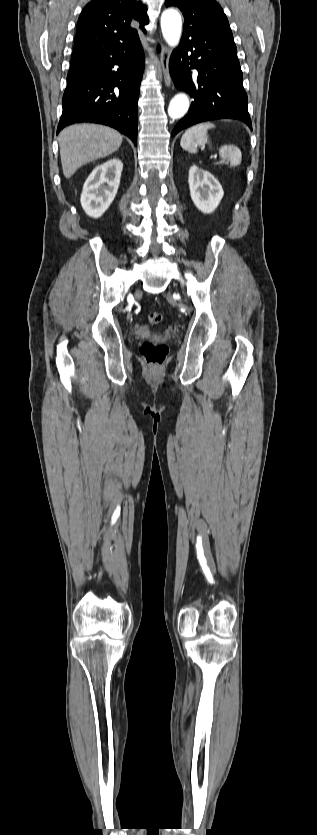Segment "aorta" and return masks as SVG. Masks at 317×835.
I'll use <instances>...</instances> for the list:
<instances>
[{
  "mask_svg": "<svg viewBox=\"0 0 317 835\" xmlns=\"http://www.w3.org/2000/svg\"><path fill=\"white\" fill-rule=\"evenodd\" d=\"M161 30L168 45L175 48L180 41L182 32V19L177 10L167 9L163 11L161 15ZM189 106L188 96L185 93L177 94L170 101L168 115L171 119H179L187 113Z\"/></svg>",
  "mask_w": 317,
  "mask_h": 835,
  "instance_id": "obj_1",
  "label": "aorta"
}]
</instances>
